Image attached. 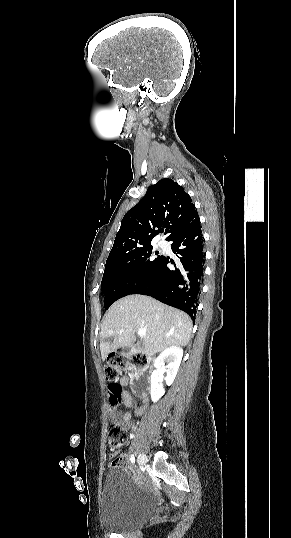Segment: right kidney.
Returning <instances> with one entry per match:
<instances>
[{
	"instance_id": "obj_1",
	"label": "right kidney",
	"mask_w": 291,
	"mask_h": 538,
	"mask_svg": "<svg viewBox=\"0 0 291 538\" xmlns=\"http://www.w3.org/2000/svg\"><path fill=\"white\" fill-rule=\"evenodd\" d=\"M183 356V350L179 346L166 348L154 362V371L151 375V399L156 403L164 394L162 386L163 374L166 373L165 381L171 385L176 377ZM167 364V365H166Z\"/></svg>"
}]
</instances>
